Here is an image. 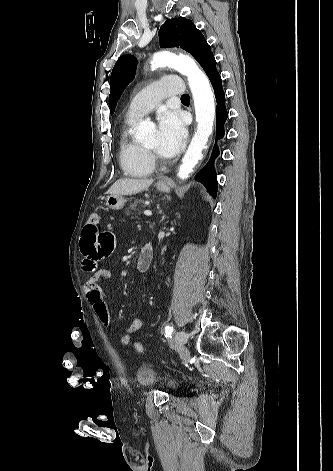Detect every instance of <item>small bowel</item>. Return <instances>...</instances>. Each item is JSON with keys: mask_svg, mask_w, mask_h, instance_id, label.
<instances>
[{"mask_svg": "<svg viewBox=\"0 0 333 471\" xmlns=\"http://www.w3.org/2000/svg\"><path fill=\"white\" fill-rule=\"evenodd\" d=\"M114 248V237L111 233H101L97 225L89 222L83 228L80 239V250L83 256L82 268L88 274L85 282L86 298L100 322L105 326L111 325V317L105 301V293L101 284L111 278V272L99 266V262L108 256ZM142 327L140 319H134L127 329V333L120 337L124 346L130 344L131 334Z\"/></svg>", "mask_w": 333, "mask_h": 471, "instance_id": "obj_1", "label": "small bowel"}]
</instances>
